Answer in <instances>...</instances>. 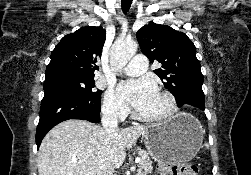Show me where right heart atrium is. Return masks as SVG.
Returning a JSON list of instances; mask_svg holds the SVG:
<instances>
[{
    "mask_svg": "<svg viewBox=\"0 0 251 175\" xmlns=\"http://www.w3.org/2000/svg\"><path fill=\"white\" fill-rule=\"evenodd\" d=\"M102 111L105 116L116 121H124L130 115V110L117 98L113 89L105 92Z\"/></svg>",
    "mask_w": 251,
    "mask_h": 175,
    "instance_id": "d8ad5b80",
    "label": "right heart atrium"
}]
</instances>
